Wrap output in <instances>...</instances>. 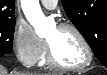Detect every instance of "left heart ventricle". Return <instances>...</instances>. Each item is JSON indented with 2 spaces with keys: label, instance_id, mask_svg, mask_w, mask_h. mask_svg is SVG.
Segmentation results:
<instances>
[{
  "label": "left heart ventricle",
  "instance_id": "b2bd125f",
  "mask_svg": "<svg viewBox=\"0 0 107 75\" xmlns=\"http://www.w3.org/2000/svg\"><path fill=\"white\" fill-rule=\"evenodd\" d=\"M46 40L51 45L55 58L63 65H79L86 59L81 42L70 30L53 28Z\"/></svg>",
  "mask_w": 107,
  "mask_h": 75
}]
</instances>
